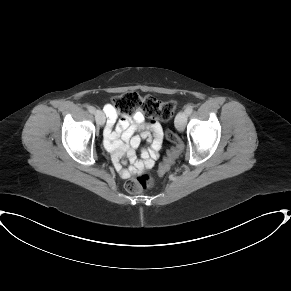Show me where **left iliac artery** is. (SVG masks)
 I'll return each mask as SVG.
<instances>
[{"instance_id": "left-iliac-artery-1", "label": "left iliac artery", "mask_w": 291, "mask_h": 291, "mask_svg": "<svg viewBox=\"0 0 291 291\" xmlns=\"http://www.w3.org/2000/svg\"><path fill=\"white\" fill-rule=\"evenodd\" d=\"M185 112L190 115L193 112V106L187 105L185 108Z\"/></svg>"}]
</instances>
